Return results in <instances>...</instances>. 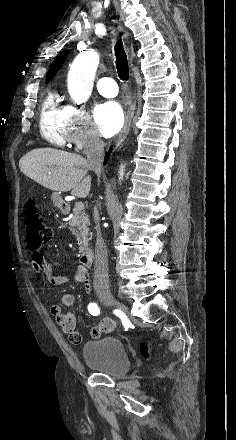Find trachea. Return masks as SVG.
Wrapping results in <instances>:
<instances>
[{
	"instance_id": "trachea-1",
	"label": "trachea",
	"mask_w": 236,
	"mask_h": 440,
	"mask_svg": "<svg viewBox=\"0 0 236 440\" xmlns=\"http://www.w3.org/2000/svg\"><path fill=\"white\" fill-rule=\"evenodd\" d=\"M116 68L118 76L121 80L129 79V66L123 43L119 40L115 45Z\"/></svg>"
}]
</instances>
